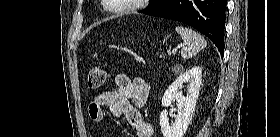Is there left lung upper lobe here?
I'll return each mask as SVG.
<instances>
[{
	"label": "left lung upper lobe",
	"mask_w": 280,
	"mask_h": 137,
	"mask_svg": "<svg viewBox=\"0 0 280 137\" xmlns=\"http://www.w3.org/2000/svg\"><path fill=\"white\" fill-rule=\"evenodd\" d=\"M163 0H155L154 3L152 5H149L148 8H146L145 10H143L142 12L148 11L154 7H156L157 5H159Z\"/></svg>",
	"instance_id": "1"
}]
</instances>
